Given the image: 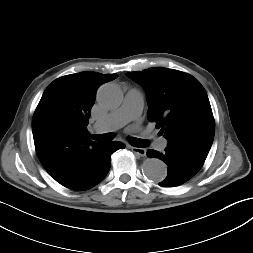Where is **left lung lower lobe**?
<instances>
[{"label": "left lung lower lobe", "instance_id": "obj_1", "mask_svg": "<svg viewBox=\"0 0 253 253\" xmlns=\"http://www.w3.org/2000/svg\"><path fill=\"white\" fill-rule=\"evenodd\" d=\"M147 156L159 158L168 166L167 177L159 183L162 187H175L188 181L200 170L207 157L173 146H167L164 153L148 150Z\"/></svg>", "mask_w": 253, "mask_h": 253}]
</instances>
